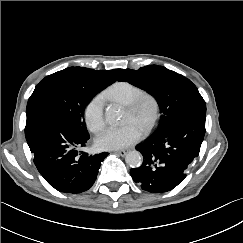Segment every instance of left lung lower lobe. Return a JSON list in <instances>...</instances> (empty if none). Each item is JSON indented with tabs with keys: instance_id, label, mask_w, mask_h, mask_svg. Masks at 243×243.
Here are the masks:
<instances>
[{
	"instance_id": "left-lung-lower-lobe-1",
	"label": "left lung lower lobe",
	"mask_w": 243,
	"mask_h": 243,
	"mask_svg": "<svg viewBox=\"0 0 243 243\" xmlns=\"http://www.w3.org/2000/svg\"><path fill=\"white\" fill-rule=\"evenodd\" d=\"M206 106L189 109L175 117L159 136L138 145L143 155L139 168L130 175L143 190L162 193L174 189L199 155L205 135Z\"/></svg>"
}]
</instances>
